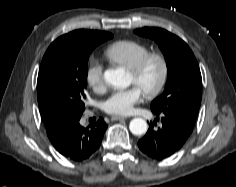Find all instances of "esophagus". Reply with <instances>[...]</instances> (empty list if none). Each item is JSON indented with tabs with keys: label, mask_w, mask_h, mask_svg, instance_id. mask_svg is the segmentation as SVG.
I'll list each match as a JSON object with an SVG mask.
<instances>
[{
	"label": "esophagus",
	"mask_w": 236,
	"mask_h": 187,
	"mask_svg": "<svg viewBox=\"0 0 236 187\" xmlns=\"http://www.w3.org/2000/svg\"><path fill=\"white\" fill-rule=\"evenodd\" d=\"M125 119H127V117H123V116H112L111 117L112 121L125 120Z\"/></svg>",
	"instance_id": "obj_1"
}]
</instances>
